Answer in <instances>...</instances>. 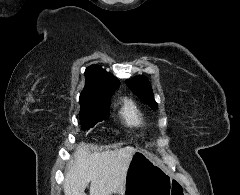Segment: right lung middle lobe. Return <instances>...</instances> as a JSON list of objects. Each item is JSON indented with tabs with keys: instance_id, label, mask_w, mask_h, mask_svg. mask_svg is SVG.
Returning <instances> with one entry per match:
<instances>
[{
	"instance_id": "obj_1",
	"label": "right lung middle lobe",
	"mask_w": 240,
	"mask_h": 195,
	"mask_svg": "<svg viewBox=\"0 0 240 195\" xmlns=\"http://www.w3.org/2000/svg\"><path fill=\"white\" fill-rule=\"evenodd\" d=\"M80 102V124L85 131L94 127L97 122L109 118L110 101L88 100Z\"/></svg>"
}]
</instances>
